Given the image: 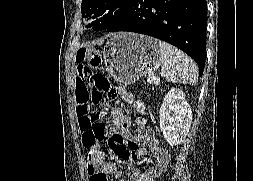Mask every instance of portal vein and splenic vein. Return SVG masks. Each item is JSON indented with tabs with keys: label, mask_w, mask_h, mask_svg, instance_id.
Returning <instances> with one entry per match:
<instances>
[{
	"label": "portal vein and splenic vein",
	"mask_w": 253,
	"mask_h": 181,
	"mask_svg": "<svg viewBox=\"0 0 253 181\" xmlns=\"http://www.w3.org/2000/svg\"><path fill=\"white\" fill-rule=\"evenodd\" d=\"M159 81H160V79H159V78H157V77H153V78L151 79V81H150V82H153V83H159Z\"/></svg>",
	"instance_id": "18ae733b"
}]
</instances>
